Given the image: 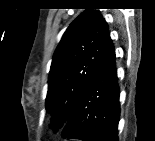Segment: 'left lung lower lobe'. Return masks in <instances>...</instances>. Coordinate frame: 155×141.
I'll use <instances>...</instances> for the list:
<instances>
[{
	"label": "left lung lower lobe",
	"instance_id": "left-lung-lower-lobe-1",
	"mask_svg": "<svg viewBox=\"0 0 155 141\" xmlns=\"http://www.w3.org/2000/svg\"><path fill=\"white\" fill-rule=\"evenodd\" d=\"M112 41L78 100L63 136L81 141H118L119 85Z\"/></svg>",
	"mask_w": 155,
	"mask_h": 141
}]
</instances>
